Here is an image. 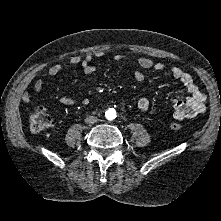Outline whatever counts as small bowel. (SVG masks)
<instances>
[{"label":"small bowel","mask_w":221,"mask_h":221,"mask_svg":"<svg viewBox=\"0 0 221 221\" xmlns=\"http://www.w3.org/2000/svg\"><path fill=\"white\" fill-rule=\"evenodd\" d=\"M104 57L103 52H96L94 54H87L84 57L72 56L68 62L58 63L52 65L44 78L33 81L28 89H26L22 95L21 99L25 103H29L32 99V93H38L45 87H54V83L48 81L47 77H54L59 73L66 71L71 65H79L84 73L91 74L95 72L96 68L93 65L94 59H102ZM124 57L120 54L114 56V60L121 61ZM138 64L140 68L144 70L155 69L158 71H165L166 66L163 63L154 62L149 57H140L138 59ZM171 76L179 81L188 91L189 96L186 98H178L174 101V117L178 120L184 118H191L205 111L206 96L195 83L192 75L180 67H172L170 69ZM134 78L137 81H143L145 79V74L141 70H136L134 72ZM59 101L67 106L74 105L76 101L68 96H60ZM86 100H81V104H86ZM137 107L140 111L145 112L149 109L150 103L148 99L141 98L137 102Z\"/></svg>","instance_id":"small-bowel-1"}]
</instances>
